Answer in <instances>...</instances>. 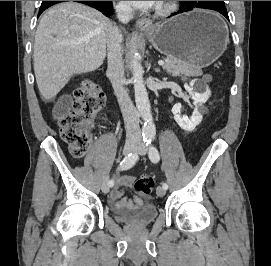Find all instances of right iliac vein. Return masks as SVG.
<instances>
[{"mask_svg": "<svg viewBox=\"0 0 271 266\" xmlns=\"http://www.w3.org/2000/svg\"><path fill=\"white\" fill-rule=\"evenodd\" d=\"M138 148V145L134 142H126L124 147H123V150H122V154L123 155H128L129 153L135 151L136 149ZM101 189H102V192L103 193H108L109 190H110V186L108 184V181L105 180L101 186Z\"/></svg>", "mask_w": 271, "mask_h": 266, "instance_id": "right-iliac-vein-1", "label": "right iliac vein"}]
</instances>
